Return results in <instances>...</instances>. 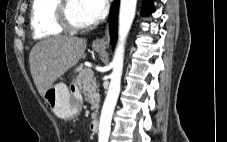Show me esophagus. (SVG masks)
Returning a JSON list of instances; mask_svg holds the SVG:
<instances>
[{"label":"esophagus","instance_id":"34e87169","mask_svg":"<svg viewBox=\"0 0 227 142\" xmlns=\"http://www.w3.org/2000/svg\"><path fill=\"white\" fill-rule=\"evenodd\" d=\"M110 44V35L106 33L103 37L96 39L93 42V46L98 49H107Z\"/></svg>","mask_w":227,"mask_h":142}]
</instances>
